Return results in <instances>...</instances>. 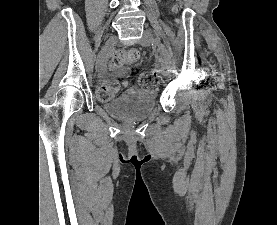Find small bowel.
<instances>
[{"label": "small bowel", "instance_id": "c3829d8e", "mask_svg": "<svg viewBox=\"0 0 277 225\" xmlns=\"http://www.w3.org/2000/svg\"><path fill=\"white\" fill-rule=\"evenodd\" d=\"M98 73H99L100 78H104V76H105V66H101L98 69ZM123 73L124 72H120L119 74H123Z\"/></svg>", "mask_w": 277, "mask_h": 225}]
</instances>
